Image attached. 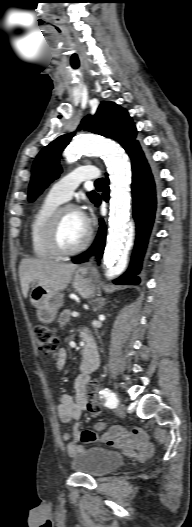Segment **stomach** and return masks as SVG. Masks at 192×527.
I'll return each mask as SVG.
<instances>
[{
  "mask_svg": "<svg viewBox=\"0 0 192 527\" xmlns=\"http://www.w3.org/2000/svg\"><path fill=\"white\" fill-rule=\"evenodd\" d=\"M96 274L86 268L76 271L72 286L85 298L92 296L96 290ZM30 302L36 308L38 319L43 323H51L57 315L59 308L63 305V294L52 292L39 283H33L30 291Z\"/></svg>",
  "mask_w": 192,
  "mask_h": 527,
  "instance_id": "1",
  "label": "stomach"
}]
</instances>
